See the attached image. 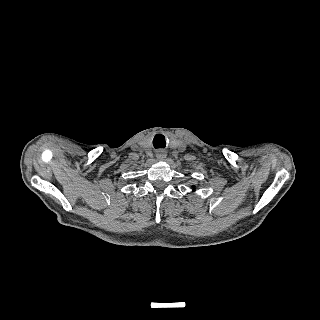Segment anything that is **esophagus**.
Instances as JSON below:
<instances>
[{
    "label": "esophagus",
    "instance_id": "34e87169",
    "mask_svg": "<svg viewBox=\"0 0 320 320\" xmlns=\"http://www.w3.org/2000/svg\"><path fill=\"white\" fill-rule=\"evenodd\" d=\"M156 156L159 160H163L166 157V152L164 150H159L157 151Z\"/></svg>",
    "mask_w": 320,
    "mask_h": 320
}]
</instances>
